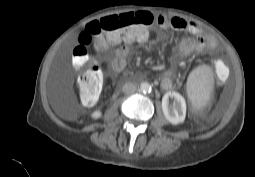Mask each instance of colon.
<instances>
[{
	"mask_svg": "<svg viewBox=\"0 0 255 177\" xmlns=\"http://www.w3.org/2000/svg\"><path fill=\"white\" fill-rule=\"evenodd\" d=\"M163 21L148 12L126 13L108 16L88 23L78 36V44L72 52L73 63L81 69L78 88L81 101L86 105L97 102L102 87V74L90 66L89 46L120 45L131 43L141 38L154 25L163 26Z\"/></svg>",
	"mask_w": 255,
	"mask_h": 177,
	"instance_id": "5ec220e1",
	"label": "colon"
}]
</instances>
